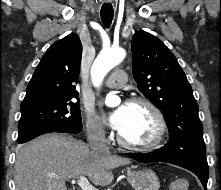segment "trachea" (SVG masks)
<instances>
[{
	"label": "trachea",
	"instance_id": "1",
	"mask_svg": "<svg viewBox=\"0 0 221 190\" xmlns=\"http://www.w3.org/2000/svg\"><path fill=\"white\" fill-rule=\"evenodd\" d=\"M114 16V10L111 4H103L101 8V20L106 28H109Z\"/></svg>",
	"mask_w": 221,
	"mask_h": 190
}]
</instances>
